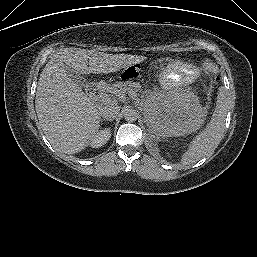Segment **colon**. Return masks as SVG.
Listing matches in <instances>:
<instances>
[{"instance_id": "1", "label": "colon", "mask_w": 257, "mask_h": 257, "mask_svg": "<svg viewBox=\"0 0 257 257\" xmlns=\"http://www.w3.org/2000/svg\"><path fill=\"white\" fill-rule=\"evenodd\" d=\"M204 70L212 76L215 82H218L220 80V77L218 75V69L216 65L211 62L210 60H205L203 63ZM143 74V69L140 65H134L131 67H128L124 69L120 73V77L123 80H131L140 77Z\"/></svg>"}]
</instances>
